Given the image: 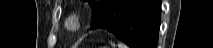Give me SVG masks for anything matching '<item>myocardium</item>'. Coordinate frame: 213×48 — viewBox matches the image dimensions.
<instances>
[{
    "instance_id": "f54148a6",
    "label": "myocardium",
    "mask_w": 213,
    "mask_h": 48,
    "mask_svg": "<svg viewBox=\"0 0 213 48\" xmlns=\"http://www.w3.org/2000/svg\"><path fill=\"white\" fill-rule=\"evenodd\" d=\"M65 26L71 31L80 29L82 26V19L80 15L76 12L71 13L65 21Z\"/></svg>"
}]
</instances>
